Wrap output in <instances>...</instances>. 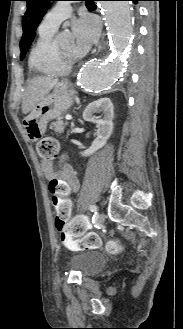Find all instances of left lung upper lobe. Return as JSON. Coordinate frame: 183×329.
Returning a JSON list of instances; mask_svg holds the SVG:
<instances>
[{
  "label": "left lung upper lobe",
  "instance_id": "5c2ea615",
  "mask_svg": "<svg viewBox=\"0 0 183 329\" xmlns=\"http://www.w3.org/2000/svg\"><path fill=\"white\" fill-rule=\"evenodd\" d=\"M27 2V11L22 20L23 36L20 42L21 60L35 38V30L45 15L50 1L56 0H24Z\"/></svg>",
  "mask_w": 183,
  "mask_h": 329
}]
</instances>
